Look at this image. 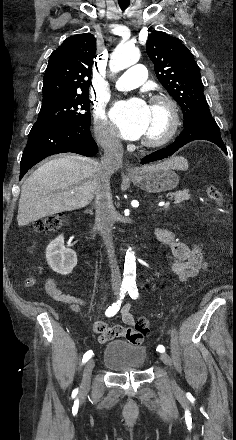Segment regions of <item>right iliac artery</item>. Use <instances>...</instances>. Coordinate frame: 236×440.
Returning <instances> with one entry per match:
<instances>
[{"instance_id": "82829eb1", "label": "right iliac artery", "mask_w": 236, "mask_h": 440, "mask_svg": "<svg viewBox=\"0 0 236 440\" xmlns=\"http://www.w3.org/2000/svg\"><path fill=\"white\" fill-rule=\"evenodd\" d=\"M128 289H129L128 286H122L120 288L119 299L117 300V302H115L111 306H109L105 312V315L107 317H112L119 311L122 300L124 299L125 294L128 291ZM92 355H93L92 350L87 351L83 356L82 362L86 363L92 357ZM75 392H78V390L76 389Z\"/></svg>"}]
</instances>
